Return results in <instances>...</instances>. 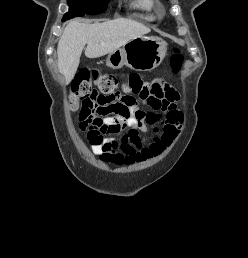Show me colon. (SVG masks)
I'll return each mask as SVG.
<instances>
[{"mask_svg":"<svg viewBox=\"0 0 248 258\" xmlns=\"http://www.w3.org/2000/svg\"><path fill=\"white\" fill-rule=\"evenodd\" d=\"M184 61L183 55L179 49H174L170 57V68L173 73H178ZM155 86L151 87V91H155ZM118 91V79L114 75H104L98 79L97 88L93 87L88 72H84L77 79L69 96V104L72 110H77L79 104H82V110L86 113L88 126L85 130L90 142H99L102 140L103 134L113 131L121 126V123L108 125L101 115L114 113L118 116H123L124 120L129 119V111L120 104L110 105L115 94ZM123 91L127 94H139L142 96L144 89L142 88L141 80L137 75H131L127 85Z\"/></svg>","mask_w":248,"mask_h":258,"instance_id":"1","label":"colon"}]
</instances>
